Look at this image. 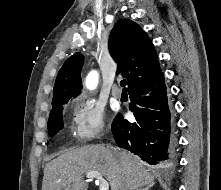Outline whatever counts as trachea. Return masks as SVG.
I'll list each match as a JSON object with an SVG mask.
<instances>
[{
    "label": "trachea",
    "mask_w": 221,
    "mask_h": 190,
    "mask_svg": "<svg viewBox=\"0 0 221 190\" xmlns=\"http://www.w3.org/2000/svg\"><path fill=\"white\" fill-rule=\"evenodd\" d=\"M120 85H121V87L125 90L126 89V80H122L121 82H120Z\"/></svg>",
    "instance_id": "3493384b"
}]
</instances>
